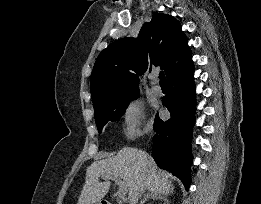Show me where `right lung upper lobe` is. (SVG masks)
Here are the masks:
<instances>
[{"label":"right lung upper lobe","mask_w":261,"mask_h":204,"mask_svg":"<svg viewBox=\"0 0 261 204\" xmlns=\"http://www.w3.org/2000/svg\"><path fill=\"white\" fill-rule=\"evenodd\" d=\"M191 58L179 22L173 16L154 13L136 39L116 40L99 54L91 75L93 107L139 91L138 75L149 65L161 66L169 78Z\"/></svg>","instance_id":"right-lung-upper-lobe-1"}]
</instances>
